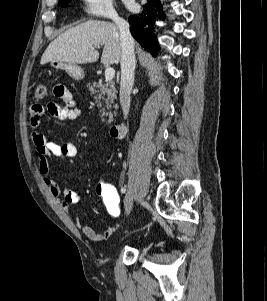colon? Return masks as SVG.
Instances as JSON below:
<instances>
[{"label":"colon","mask_w":267,"mask_h":301,"mask_svg":"<svg viewBox=\"0 0 267 301\" xmlns=\"http://www.w3.org/2000/svg\"><path fill=\"white\" fill-rule=\"evenodd\" d=\"M47 94L46 86L39 84L36 86L34 96L36 100L43 99ZM96 195L102 209L112 218L121 215V199L117 189L109 182L98 181L95 187Z\"/></svg>","instance_id":"5ec220e1"}]
</instances>
